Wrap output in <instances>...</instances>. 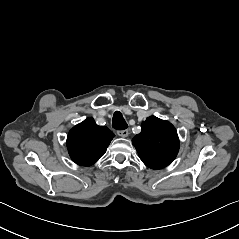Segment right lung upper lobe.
Wrapping results in <instances>:
<instances>
[{"instance_id":"right-lung-upper-lobe-1","label":"right lung upper lobe","mask_w":239,"mask_h":239,"mask_svg":"<svg viewBox=\"0 0 239 239\" xmlns=\"http://www.w3.org/2000/svg\"><path fill=\"white\" fill-rule=\"evenodd\" d=\"M114 136L110 129L98 126L93 118H87L68 134L69 155L76 164L91 166L105 154Z\"/></svg>"}]
</instances>
